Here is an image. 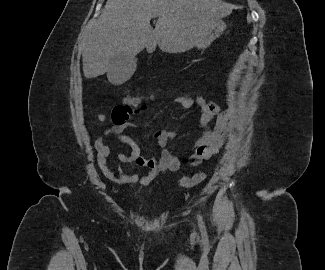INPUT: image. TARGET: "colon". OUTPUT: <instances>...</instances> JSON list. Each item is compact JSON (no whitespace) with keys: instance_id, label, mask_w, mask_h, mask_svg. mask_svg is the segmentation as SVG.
Segmentation results:
<instances>
[{"instance_id":"obj_1","label":"colon","mask_w":325,"mask_h":270,"mask_svg":"<svg viewBox=\"0 0 325 270\" xmlns=\"http://www.w3.org/2000/svg\"><path fill=\"white\" fill-rule=\"evenodd\" d=\"M167 93L163 94H158V93H151V94H146L142 96H135V97H127L126 98V103L128 104H138L141 102H148V101H155L159 99L162 95H166ZM206 178V174L201 172L197 173L192 177H184L180 180L179 184L180 186L184 188H189L193 187L200 182H202Z\"/></svg>"}]
</instances>
